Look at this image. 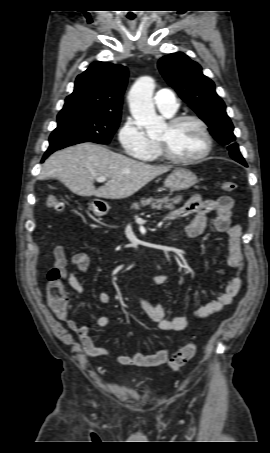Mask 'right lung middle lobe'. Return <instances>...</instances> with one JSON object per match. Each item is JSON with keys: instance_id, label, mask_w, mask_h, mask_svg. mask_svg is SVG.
Here are the masks:
<instances>
[{"instance_id": "1", "label": "right lung middle lobe", "mask_w": 270, "mask_h": 453, "mask_svg": "<svg viewBox=\"0 0 270 453\" xmlns=\"http://www.w3.org/2000/svg\"><path fill=\"white\" fill-rule=\"evenodd\" d=\"M57 121V128L49 138L48 150L88 141L108 144L119 127L120 117L83 112L58 117Z\"/></svg>"}]
</instances>
